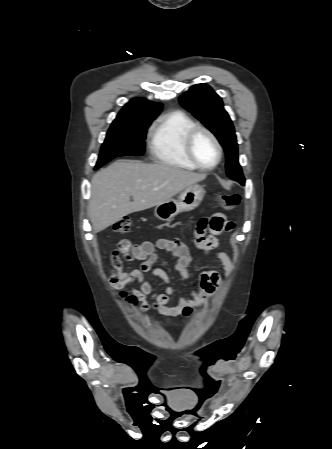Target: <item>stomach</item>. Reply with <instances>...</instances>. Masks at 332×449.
<instances>
[{
	"label": "stomach",
	"instance_id": "stomach-1",
	"mask_svg": "<svg viewBox=\"0 0 332 449\" xmlns=\"http://www.w3.org/2000/svg\"><path fill=\"white\" fill-rule=\"evenodd\" d=\"M205 195V189L201 185H191L185 188L177 199H170L159 204L154 209L156 218L162 221L172 220L182 212H189L200 205Z\"/></svg>",
	"mask_w": 332,
	"mask_h": 449
}]
</instances>
